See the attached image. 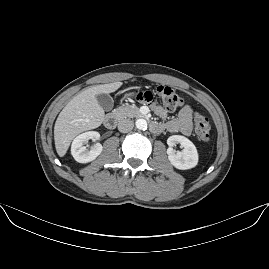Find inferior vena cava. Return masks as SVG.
Masks as SVG:
<instances>
[{"label": "inferior vena cava", "instance_id": "1", "mask_svg": "<svg viewBox=\"0 0 269 269\" xmlns=\"http://www.w3.org/2000/svg\"><path fill=\"white\" fill-rule=\"evenodd\" d=\"M133 126H134L133 121L129 119H123L117 125L118 130L122 133L131 131Z\"/></svg>", "mask_w": 269, "mask_h": 269}]
</instances>
